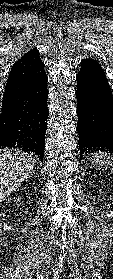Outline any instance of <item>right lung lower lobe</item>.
Returning a JSON list of instances; mask_svg holds the SVG:
<instances>
[{
    "label": "right lung lower lobe",
    "mask_w": 113,
    "mask_h": 279,
    "mask_svg": "<svg viewBox=\"0 0 113 279\" xmlns=\"http://www.w3.org/2000/svg\"><path fill=\"white\" fill-rule=\"evenodd\" d=\"M44 64L2 105L0 148H20L43 161L47 130L48 77Z\"/></svg>",
    "instance_id": "obj_1"
}]
</instances>
